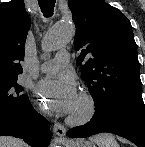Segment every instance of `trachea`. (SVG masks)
<instances>
[{
  "label": "trachea",
  "mask_w": 145,
  "mask_h": 147,
  "mask_svg": "<svg viewBox=\"0 0 145 147\" xmlns=\"http://www.w3.org/2000/svg\"><path fill=\"white\" fill-rule=\"evenodd\" d=\"M38 3L45 17L53 15L55 0H39Z\"/></svg>",
  "instance_id": "obj_1"
}]
</instances>
